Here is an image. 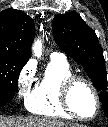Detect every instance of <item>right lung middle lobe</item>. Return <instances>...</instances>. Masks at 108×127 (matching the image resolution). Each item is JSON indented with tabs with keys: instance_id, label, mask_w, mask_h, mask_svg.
<instances>
[{
	"instance_id": "obj_1",
	"label": "right lung middle lobe",
	"mask_w": 108,
	"mask_h": 127,
	"mask_svg": "<svg viewBox=\"0 0 108 127\" xmlns=\"http://www.w3.org/2000/svg\"><path fill=\"white\" fill-rule=\"evenodd\" d=\"M26 61L0 54V99L11 100L18 87V77Z\"/></svg>"
}]
</instances>
